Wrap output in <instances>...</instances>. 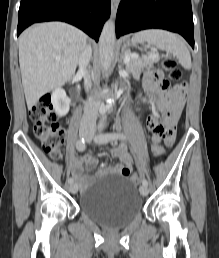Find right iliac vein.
<instances>
[{
  "mask_svg": "<svg viewBox=\"0 0 219 258\" xmlns=\"http://www.w3.org/2000/svg\"><path fill=\"white\" fill-rule=\"evenodd\" d=\"M69 190H70L71 193L75 194L78 191L77 184H70Z\"/></svg>",
  "mask_w": 219,
  "mask_h": 258,
  "instance_id": "63e3f726",
  "label": "right iliac vein"
}]
</instances>
